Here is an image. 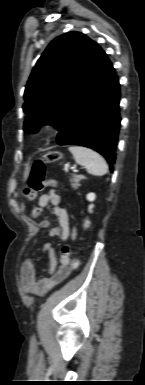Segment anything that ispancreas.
Returning <instances> with one entry per match:
<instances>
[{
  "mask_svg": "<svg viewBox=\"0 0 145 385\" xmlns=\"http://www.w3.org/2000/svg\"><path fill=\"white\" fill-rule=\"evenodd\" d=\"M82 179H83V176L73 175V178L70 180L72 188L77 189L80 186L79 182Z\"/></svg>",
  "mask_w": 145,
  "mask_h": 385,
  "instance_id": "1",
  "label": "pancreas"
}]
</instances>
